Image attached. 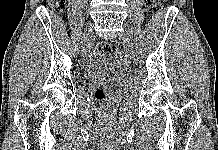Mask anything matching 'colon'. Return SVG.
Listing matches in <instances>:
<instances>
[{
	"mask_svg": "<svg viewBox=\"0 0 218 150\" xmlns=\"http://www.w3.org/2000/svg\"><path fill=\"white\" fill-rule=\"evenodd\" d=\"M49 5L53 9H61L65 5V0H48ZM145 5L150 14H156L162 10L163 0H145ZM95 49L101 56H110L112 54L111 45L106 41H99L96 43ZM95 98L98 102L106 104L107 96L102 87L96 88L94 92Z\"/></svg>",
	"mask_w": 218,
	"mask_h": 150,
	"instance_id": "1",
	"label": "colon"
}]
</instances>
